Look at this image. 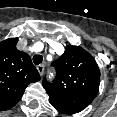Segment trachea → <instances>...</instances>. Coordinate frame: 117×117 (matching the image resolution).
Here are the masks:
<instances>
[{
    "label": "trachea",
    "mask_w": 117,
    "mask_h": 117,
    "mask_svg": "<svg viewBox=\"0 0 117 117\" xmlns=\"http://www.w3.org/2000/svg\"><path fill=\"white\" fill-rule=\"evenodd\" d=\"M43 61V57L41 55H34L33 62L35 65H39Z\"/></svg>",
    "instance_id": "obj_1"
}]
</instances>
